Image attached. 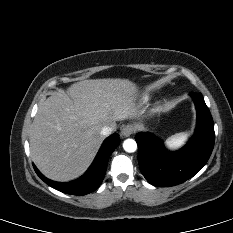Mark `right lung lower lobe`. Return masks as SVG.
Listing matches in <instances>:
<instances>
[{
	"instance_id": "obj_1",
	"label": "right lung lower lobe",
	"mask_w": 233,
	"mask_h": 233,
	"mask_svg": "<svg viewBox=\"0 0 233 233\" xmlns=\"http://www.w3.org/2000/svg\"><path fill=\"white\" fill-rule=\"evenodd\" d=\"M119 143L120 138L117 133L109 136L102 144L88 171L77 180L71 182L60 183L51 181L44 177L34 164L33 167L37 175L49 186L67 194L85 195L96 190L102 183L108 164V159Z\"/></svg>"
}]
</instances>
